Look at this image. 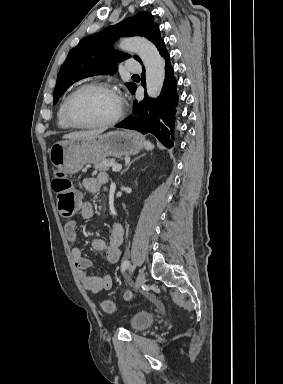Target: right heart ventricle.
I'll return each instance as SVG.
<instances>
[{
  "label": "right heart ventricle",
  "instance_id": "right-heart-ventricle-1",
  "mask_svg": "<svg viewBox=\"0 0 283 384\" xmlns=\"http://www.w3.org/2000/svg\"><path fill=\"white\" fill-rule=\"evenodd\" d=\"M70 93H67L63 98L61 99L58 108H57V113H56V121H57V126L61 130H70V127L65 123L64 117H63V110H64V105L67 97L69 96Z\"/></svg>",
  "mask_w": 283,
  "mask_h": 384
}]
</instances>
